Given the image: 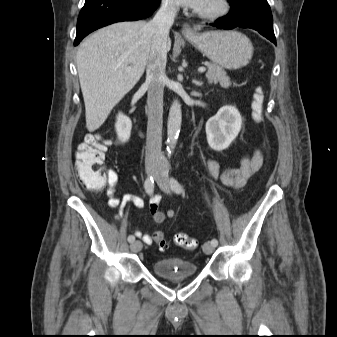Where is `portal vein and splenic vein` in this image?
Instances as JSON below:
<instances>
[{
  "label": "portal vein and splenic vein",
  "instance_id": "18ae733b",
  "mask_svg": "<svg viewBox=\"0 0 337 337\" xmlns=\"http://www.w3.org/2000/svg\"><path fill=\"white\" fill-rule=\"evenodd\" d=\"M128 69H130V67H128ZM198 71H199L200 73H204V72L206 71V68H205V67H200V68L198 69Z\"/></svg>",
  "mask_w": 337,
  "mask_h": 337
}]
</instances>
